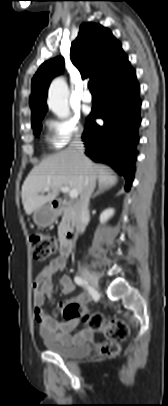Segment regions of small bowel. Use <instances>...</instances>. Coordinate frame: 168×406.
Returning <instances> with one entry per match:
<instances>
[{
	"instance_id": "c3829d8e",
	"label": "small bowel",
	"mask_w": 168,
	"mask_h": 406,
	"mask_svg": "<svg viewBox=\"0 0 168 406\" xmlns=\"http://www.w3.org/2000/svg\"><path fill=\"white\" fill-rule=\"evenodd\" d=\"M66 267V258L58 256L45 266L36 276L33 282V307L34 316L40 325V332L44 338L60 344H73L83 340L90 335L88 331H81L73 334L78 327L80 320L78 316L69 320H60L59 316L67 306L85 311L86 305L91 297L87 293H80L76 297L63 301L52 309L51 313L45 310V302L51 299L54 290L53 277L56 273L63 272ZM59 287L63 294H71L75 290V285L68 274L62 273L58 280Z\"/></svg>"
}]
</instances>
